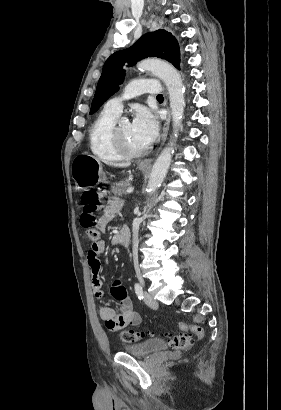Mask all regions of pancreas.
<instances>
[{
    "label": "pancreas",
    "mask_w": 281,
    "mask_h": 410,
    "mask_svg": "<svg viewBox=\"0 0 281 410\" xmlns=\"http://www.w3.org/2000/svg\"><path fill=\"white\" fill-rule=\"evenodd\" d=\"M130 181L128 179H124L120 182H116L112 185L111 191L114 195L122 196L126 193V189L130 187Z\"/></svg>",
    "instance_id": "obj_1"
}]
</instances>
